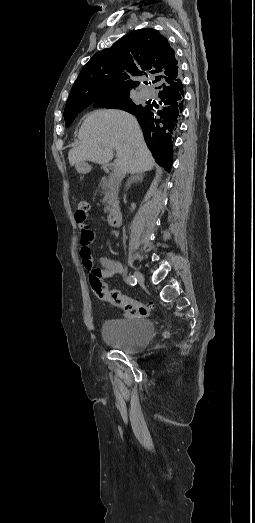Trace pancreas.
Wrapping results in <instances>:
<instances>
[{
    "label": "pancreas",
    "mask_w": 255,
    "mask_h": 523,
    "mask_svg": "<svg viewBox=\"0 0 255 523\" xmlns=\"http://www.w3.org/2000/svg\"><path fill=\"white\" fill-rule=\"evenodd\" d=\"M118 182H119L118 176H114L113 174H111V176H109V178H102V180L99 184V186L102 190V194L104 196L103 204H106V206L104 208L105 214H108V212H112V210L114 208V204H115L116 200H118V198H117L118 192H119Z\"/></svg>",
    "instance_id": "cf45deb5"
}]
</instances>
